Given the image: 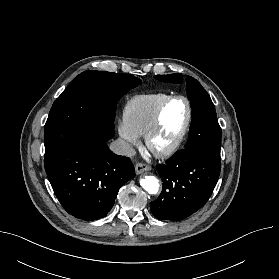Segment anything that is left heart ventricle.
Masks as SVG:
<instances>
[{
  "label": "left heart ventricle",
  "instance_id": "b2bd125f",
  "mask_svg": "<svg viewBox=\"0 0 279 279\" xmlns=\"http://www.w3.org/2000/svg\"><path fill=\"white\" fill-rule=\"evenodd\" d=\"M187 117V107L183 100H174L168 104L159 131L153 138L152 146L159 150L169 145L182 130Z\"/></svg>",
  "mask_w": 279,
  "mask_h": 279
}]
</instances>
